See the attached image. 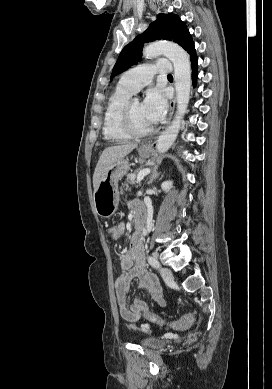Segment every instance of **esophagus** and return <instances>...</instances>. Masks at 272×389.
I'll return each instance as SVG.
<instances>
[{"instance_id": "1", "label": "esophagus", "mask_w": 272, "mask_h": 389, "mask_svg": "<svg viewBox=\"0 0 272 389\" xmlns=\"http://www.w3.org/2000/svg\"><path fill=\"white\" fill-rule=\"evenodd\" d=\"M175 102H176V98L174 97L172 99V101L170 102V112H169V118L167 120V124L170 123L171 121V118L173 116V113H174V108H175Z\"/></svg>"}]
</instances>
